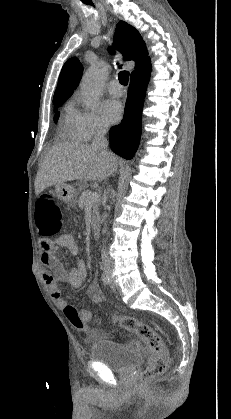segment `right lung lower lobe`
<instances>
[{
	"mask_svg": "<svg viewBox=\"0 0 231 419\" xmlns=\"http://www.w3.org/2000/svg\"><path fill=\"white\" fill-rule=\"evenodd\" d=\"M151 63L131 74L128 99L122 122L109 132L111 149L120 156L131 159L136 152L141 136V116L150 78Z\"/></svg>",
	"mask_w": 231,
	"mask_h": 419,
	"instance_id": "1",
	"label": "right lung lower lobe"
}]
</instances>
